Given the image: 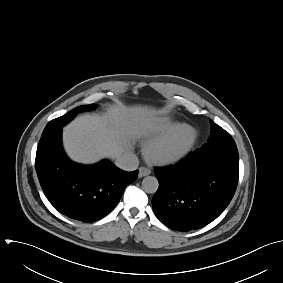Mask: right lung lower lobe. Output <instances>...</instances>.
<instances>
[{"label":"right lung lower lobe","mask_w":283,"mask_h":283,"mask_svg":"<svg viewBox=\"0 0 283 283\" xmlns=\"http://www.w3.org/2000/svg\"><path fill=\"white\" fill-rule=\"evenodd\" d=\"M62 128L41 136L35 160L40 185L61 214L82 222L100 220L115 208L138 171H123L108 160L92 166L72 162L62 147Z\"/></svg>","instance_id":"98d812e1"}]
</instances>
